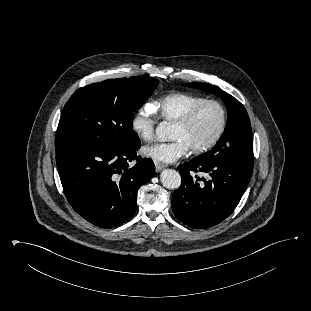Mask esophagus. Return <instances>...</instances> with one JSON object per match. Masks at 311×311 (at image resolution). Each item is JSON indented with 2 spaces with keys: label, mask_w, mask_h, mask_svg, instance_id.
I'll return each instance as SVG.
<instances>
[{
  "label": "esophagus",
  "mask_w": 311,
  "mask_h": 311,
  "mask_svg": "<svg viewBox=\"0 0 311 311\" xmlns=\"http://www.w3.org/2000/svg\"><path fill=\"white\" fill-rule=\"evenodd\" d=\"M155 167H156V172H159L162 169L166 168V165L162 164V163H159V162H155Z\"/></svg>",
  "instance_id": "obj_1"
}]
</instances>
